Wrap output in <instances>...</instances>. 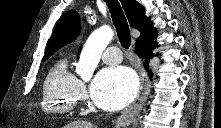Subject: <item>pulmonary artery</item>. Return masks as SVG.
<instances>
[{
	"label": "pulmonary artery",
	"mask_w": 221,
	"mask_h": 128,
	"mask_svg": "<svg viewBox=\"0 0 221 128\" xmlns=\"http://www.w3.org/2000/svg\"><path fill=\"white\" fill-rule=\"evenodd\" d=\"M121 59H122V53L120 49L116 46L108 47L102 55V60L107 64L120 63Z\"/></svg>",
	"instance_id": "e3ab8cb5"
}]
</instances>
